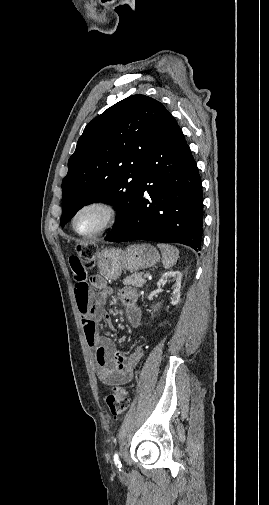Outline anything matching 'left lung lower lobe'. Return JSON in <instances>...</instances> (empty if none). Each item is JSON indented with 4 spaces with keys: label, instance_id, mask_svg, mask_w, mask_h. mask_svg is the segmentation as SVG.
Here are the masks:
<instances>
[{
    "label": "left lung lower lobe",
    "instance_id": "1",
    "mask_svg": "<svg viewBox=\"0 0 269 505\" xmlns=\"http://www.w3.org/2000/svg\"><path fill=\"white\" fill-rule=\"evenodd\" d=\"M130 219L105 240L181 243L201 250L203 195L196 162L167 112L152 137Z\"/></svg>",
    "mask_w": 269,
    "mask_h": 505
}]
</instances>
